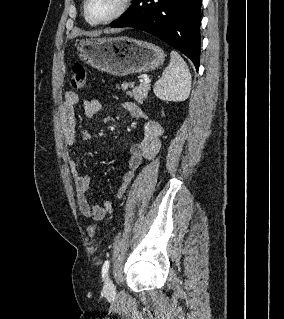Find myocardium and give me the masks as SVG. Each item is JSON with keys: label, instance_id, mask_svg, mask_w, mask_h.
Returning <instances> with one entry per match:
<instances>
[{"label": "myocardium", "instance_id": "1", "mask_svg": "<svg viewBox=\"0 0 284 319\" xmlns=\"http://www.w3.org/2000/svg\"><path fill=\"white\" fill-rule=\"evenodd\" d=\"M88 3H89V0H84L83 2V13H84L85 19L92 25H105L120 18L128 10L131 4V0H120L118 7L114 11V13L108 18L103 20H94L90 17L88 13Z\"/></svg>", "mask_w": 284, "mask_h": 319}]
</instances>
